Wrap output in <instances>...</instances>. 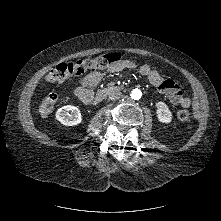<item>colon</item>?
Listing matches in <instances>:
<instances>
[{
	"mask_svg": "<svg viewBox=\"0 0 221 221\" xmlns=\"http://www.w3.org/2000/svg\"><path fill=\"white\" fill-rule=\"evenodd\" d=\"M120 60L121 56L118 53H107L96 59L80 60L76 63L61 62L49 71L46 80L50 83H60L74 75H81L87 71L108 68L120 62ZM56 101V94L48 95L42 101L39 112L44 116L49 115L53 111ZM177 117L180 121H188L190 119V112L186 108L180 109L177 113Z\"/></svg>",
	"mask_w": 221,
	"mask_h": 221,
	"instance_id": "5ec220e1",
	"label": "colon"
}]
</instances>
